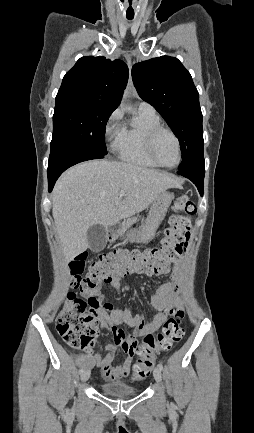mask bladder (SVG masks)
<instances>
[{
	"label": "bladder",
	"instance_id": "31cf9c89",
	"mask_svg": "<svg viewBox=\"0 0 254 433\" xmlns=\"http://www.w3.org/2000/svg\"><path fill=\"white\" fill-rule=\"evenodd\" d=\"M99 389L103 394L111 397H131L138 392L137 388L124 382L101 383Z\"/></svg>",
	"mask_w": 254,
	"mask_h": 433
}]
</instances>
